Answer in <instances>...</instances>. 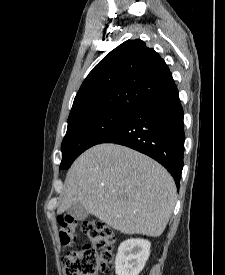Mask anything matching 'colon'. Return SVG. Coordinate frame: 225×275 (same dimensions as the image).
<instances>
[{
    "instance_id": "5ec220e1",
    "label": "colon",
    "mask_w": 225,
    "mask_h": 275,
    "mask_svg": "<svg viewBox=\"0 0 225 275\" xmlns=\"http://www.w3.org/2000/svg\"><path fill=\"white\" fill-rule=\"evenodd\" d=\"M59 239L63 247L74 244L78 221L67 215L58 220ZM82 231L91 245L69 251L62 258L64 275H96L105 271L113 260L115 235L113 230L98 219H86L81 224Z\"/></svg>"
}]
</instances>
